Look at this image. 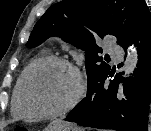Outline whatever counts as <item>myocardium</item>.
Instances as JSON below:
<instances>
[{
    "label": "myocardium",
    "mask_w": 151,
    "mask_h": 131,
    "mask_svg": "<svg viewBox=\"0 0 151 131\" xmlns=\"http://www.w3.org/2000/svg\"><path fill=\"white\" fill-rule=\"evenodd\" d=\"M48 64H60L67 67L75 77L76 87L70 99L61 108L50 112L35 111L29 108L26 104L27 85L33 72L38 68ZM84 91H85V84H84L83 76L80 70L73 63L59 56H44L34 61L25 71L21 81V86L18 96V105L21 112L26 116L41 118V119L55 118L71 111L82 99Z\"/></svg>",
    "instance_id": "f54148a6"
}]
</instances>
